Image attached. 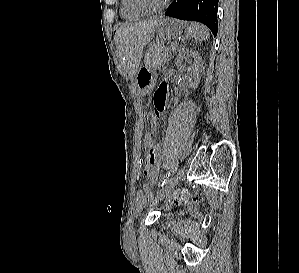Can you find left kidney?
<instances>
[{
  "instance_id": "1",
  "label": "left kidney",
  "mask_w": 299,
  "mask_h": 273,
  "mask_svg": "<svg viewBox=\"0 0 299 273\" xmlns=\"http://www.w3.org/2000/svg\"><path fill=\"white\" fill-rule=\"evenodd\" d=\"M184 59L187 61L194 62L193 66L190 68V71L188 72V77L189 87L195 89L198 86V83L200 81V73L203 70L202 58L200 57L197 51H194L193 49H185L177 55L175 59V65L180 69H184Z\"/></svg>"
}]
</instances>
